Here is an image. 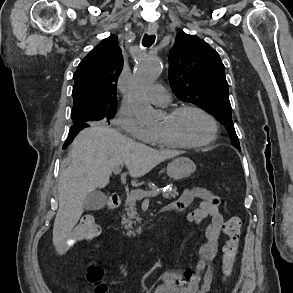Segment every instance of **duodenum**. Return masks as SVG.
Segmentation results:
<instances>
[{"label":"duodenum","mask_w":293,"mask_h":293,"mask_svg":"<svg viewBox=\"0 0 293 293\" xmlns=\"http://www.w3.org/2000/svg\"><path fill=\"white\" fill-rule=\"evenodd\" d=\"M121 204V196L119 194H112L109 197L107 208L109 210H114ZM161 212H174L171 207H164L161 209Z\"/></svg>","instance_id":"obj_1"}]
</instances>
